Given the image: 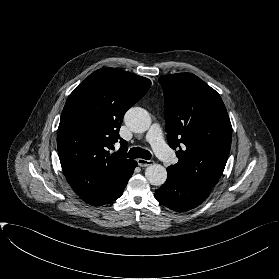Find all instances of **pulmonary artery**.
<instances>
[{
    "instance_id": "1",
    "label": "pulmonary artery",
    "mask_w": 279,
    "mask_h": 279,
    "mask_svg": "<svg viewBox=\"0 0 279 279\" xmlns=\"http://www.w3.org/2000/svg\"><path fill=\"white\" fill-rule=\"evenodd\" d=\"M147 141L150 143L159 158L166 162H173L175 157L163 140L161 127L153 124L147 134Z\"/></svg>"
}]
</instances>
